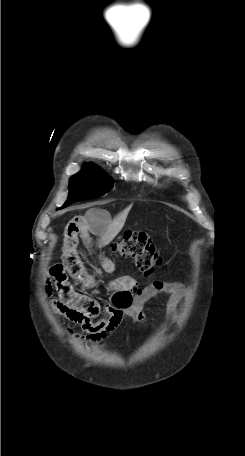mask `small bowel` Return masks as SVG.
Instances as JSON below:
<instances>
[{"label":"small bowel","mask_w":245,"mask_h":456,"mask_svg":"<svg viewBox=\"0 0 245 456\" xmlns=\"http://www.w3.org/2000/svg\"><path fill=\"white\" fill-rule=\"evenodd\" d=\"M107 214L102 210H94L86 216H77L69 221L65 229L63 263L54 265L50 270V279L45 285V293L50 295L53 285L59 292V299L50 302L53 313L77 323L84 331L78 335L82 341L102 345L122 322L124 316L141 323L145 319L146 304L160 293L170 295L168 313L174 317L178 302L185 298L190 300L193 289L181 284L171 283L163 287H139L131 276H120L110 280L106 287L111 292L107 301L101 303L97 299L77 293L67 280L71 274L78 283L97 292L98 281L80 265L76 247L78 236L89 241L91 234H99L106 224ZM103 270L114 273L115 263L107 257H99Z\"/></svg>","instance_id":"c3829d8e"}]
</instances>
